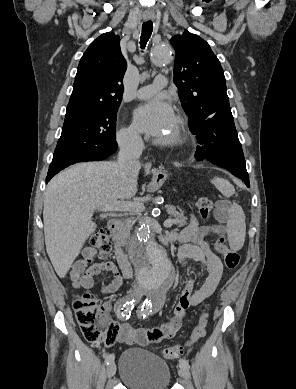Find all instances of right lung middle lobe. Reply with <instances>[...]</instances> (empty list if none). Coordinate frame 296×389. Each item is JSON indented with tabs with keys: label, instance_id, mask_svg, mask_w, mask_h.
I'll list each match as a JSON object with an SVG mask.
<instances>
[{
	"label": "right lung middle lobe",
	"instance_id": "1",
	"mask_svg": "<svg viewBox=\"0 0 296 389\" xmlns=\"http://www.w3.org/2000/svg\"><path fill=\"white\" fill-rule=\"evenodd\" d=\"M119 106L100 108L66 118L50 168L84 161H100L117 149L116 112Z\"/></svg>",
	"mask_w": 296,
	"mask_h": 389
}]
</instances>
